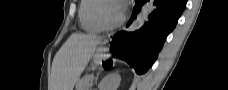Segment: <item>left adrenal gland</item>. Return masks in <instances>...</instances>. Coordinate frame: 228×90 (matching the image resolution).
<instances>
[{
  "instance_id": "a2214340",
  "label": "left adrenal gland",
  "mask_w": 228,
  "mask_h": 90,
  "mask_svg": "<svg viewBox=\"0 0 228 90\" xmlns=\"http://www.w3.org/2000/svg\"><path fill=\"white\" fill-rule=\"evenodd\" d=\"M97 79H98V75H97V77H96V79H95V82H97Z\"/></svg>"
}]
</instances>
